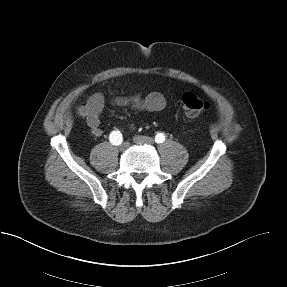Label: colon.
Listing matches in <instances>:
<instances>
[{"mask_svg": "<svg viewBox=\"0 0 287 287\" xmlns=\"http://www.w3.org/2000/svg\"><path fill=\"white\" fill-rule=\"evenodd\" d=\"M181 111L190 118L198 117L209 109V104L193 93H185L177 102ZM85 108L81 109L84 114Z\"/></svg>", "mask_w": 287, "mask_h": 287, "instance_id": "5ec220e1", "label": "colon"}]
</instances>
